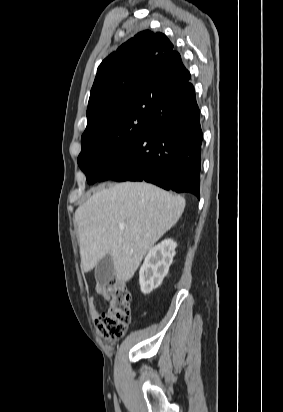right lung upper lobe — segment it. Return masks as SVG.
Masks as SVG:
<instances>
[{
    "label": "right lung upper lobe",
    "instance_id": "1",
    "mask_svg": "<svg viewBox=\"0 0 283 412\" xmlns=\"http://www.w3.org/2000/svg\"><path fill=\"white\" fill-rule=\"evenodd\" d=\"M189 79L190 73L179 53L164 34L149 30L138 33L98 67L84 134L135 104L148 101L164 104Z\"/></svg>",
    "mask_w": 283,
    "mask_h": 412
}]
</instances>
